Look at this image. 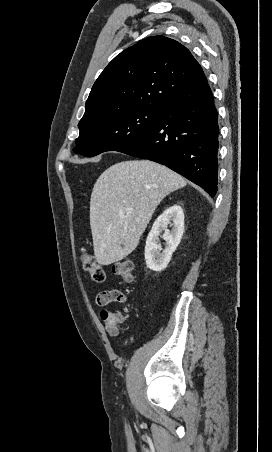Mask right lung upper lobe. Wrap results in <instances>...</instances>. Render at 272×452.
Listing matches in <instances>:
<instances>
[{
  "instance_id": "1",
  "label": "right lung upper lobe",
  "mask_w": 272,
  "mask_h": 452,
  "mask_svg": "<svg viewBox=\"0 0 272 452\" xmlns=\"http://www.w3.org/2000/svg\"><path fill=\"white\" fill-rule=\"evenodd\" d=\"M206 83L186 47L165 36L148 37L108 64L91 89L80 122L131 108L165 109Z\"/></svg>"
}]
</instances>
